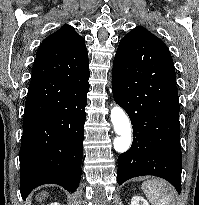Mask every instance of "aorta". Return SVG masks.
<instances>
[{
    "label": "aorta",
    "instance_id": "aorta-1",
    "mask_svg": "<svg viewBox=\"0 0 199 205\" xmlns=\"http://www.w3.org/2000/svg\"><path fill=\"white\" fill-rule=\"evenodd\" d=\"M110 117L117 134L114 139V149L118 153H124L131 145V124L127 115L119 106H114L111 109Z\"/></svg>",
    "mask_w": 199,
    "mask_h": 205
}]
</instances>
